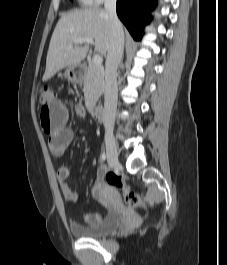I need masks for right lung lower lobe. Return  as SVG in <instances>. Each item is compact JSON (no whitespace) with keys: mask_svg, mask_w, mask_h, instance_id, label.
Returning <instances> with one entry per match:
<instances>
[{"mask_svg":"<svg viewBox=\"0 0 227 265\" xmlns=\"http://www.w3.org/2000/svg\"><path fill=\"white\" fill-rule=\"evenodd\" d=\"M154 5L155 0H117V15L135 39H141Z\"/></svg>","mask_w":227,"mask_h":265,"instance_id":"1","label":"right lung lower lobe"}]
</instances>
